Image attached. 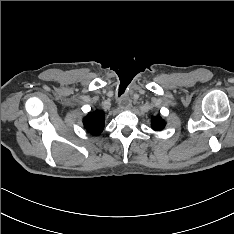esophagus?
<instances>
[{"label":"esophagus","mask_w":234,"mask_h":234,"mask_svg":"<svg viewBox=\"0 0 234 234\" xmlns=\"http://www.w3.org/2000/svg\"><path fill=\"white\" fill-rule=\"evenodd\" d=\"M119 105L123 109H129L131 107V102L128 99H121Z\"/></svg>","instance_id":"obj_1"}]
</instances>
